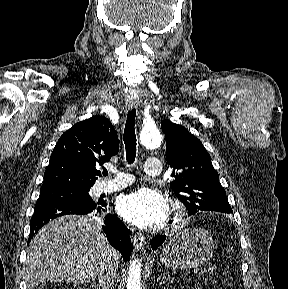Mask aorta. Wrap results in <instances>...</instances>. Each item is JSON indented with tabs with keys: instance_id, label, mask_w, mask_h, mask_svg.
<instances>
[{
	"instance_id": "obj_1",
	"label": "aorta",
	"mask_w": 288,
	"mask_h": 289,
	"mask_svg": "<svg viewBox=\"0 0 288 289\" xmlns=\"http://www.w3.org/2000/svg\"><path fill=\"white\" fill-rule=\"evenodd\" d=\"M140 142L143 146L155 149L162 143V136L155 126L144 128L140 133ZM141 261L134 258L128 269L127 289H142L141 284Z\"/></svg>"
}]
</instances>
